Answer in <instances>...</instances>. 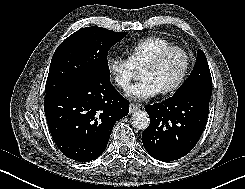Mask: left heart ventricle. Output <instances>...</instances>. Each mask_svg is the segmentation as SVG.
I'll list each match as a JSON object with an SVG mask.
<instances>
[{"label":"left heart ventricle","instance_id":"left-heart-ventricle-1","mask_svg":"<svg viewBox=\"0 0 245 189\" xmlns=\"http://www.w3.org/2000/svg\"><path fill=\"white\" fill-rule=\"evenodd\" d=\"M186 65L184 56L172 52L155 69H145L140 72V79L150 80L160 91L173 85L182 75Z\"/></svg>","mask_w":245,"mask_h":189}]
</instances>
